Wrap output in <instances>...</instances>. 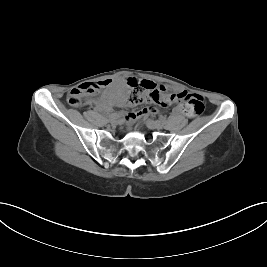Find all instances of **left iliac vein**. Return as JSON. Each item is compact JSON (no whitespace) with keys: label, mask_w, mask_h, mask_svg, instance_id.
<instances>
[{"label":"left iliac vein","mask_w":267,"mask_h":267,"mask_svg":"<svg viewBox=\"0 0 267 267\" xmlns=\"http://www.w3.org/2000/svg\"><path fill=\"white\" fill-rule=\"evenodd\" d=\"M146 124L150 129H162L163 128V123L161 121H155L152 119H148L146 121Z\"/></svg>","instance_id":"1"}]
</instances>
